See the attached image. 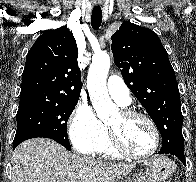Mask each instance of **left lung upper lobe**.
I'll return each instance as SVG.
<instances>
[{"mask_svg":"<svg viewBox=\"0 0 196 182\" xmlns=\"http://www.w3.org/2000/svg\"><path fill=\"white\" fill-rule=\"evenodd\" d=\"M111 49L125 83L161 133L160 152H184L180 93L175 72L158 35L124 21L112 35Z\"/></svg>","mask_w":196,"mask_h":182,"instance_id":"left-lung-upper-lobe-1","label":"left lung upper lobe"}]
</instances>
